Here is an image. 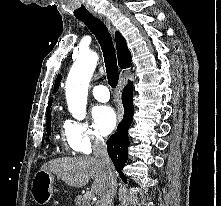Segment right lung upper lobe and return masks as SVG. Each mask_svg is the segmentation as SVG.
<instances>
[{
  "label": "right lung upper lobe",
  "instance_id": "obj_1",
  "mask_svg": "<svg viewBox=\"0 0 221 206\" xmlns=\"http://www.w3.org/2000/svg\"><path fill=\"white\" fill-rule=\"evenodd\" d=\"M115 39H116L119 66L121 68H127L130 66L131 63V53L127 48L124 37L119 32L115 33ZM60 81H61V76L58 75L54 85V92L58 90ZM51 103L52 99L49 101L47 113L50 112L49 108L51 106Z\"/></svg>",
  "mask_w": 221,
  "mask_h": 206
}]
</instances>
